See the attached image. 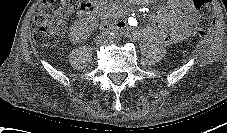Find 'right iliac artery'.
<instances>
[{
  "instance_id": "obj_1",
  "label": "right iliac artery",
  "mask_w": 227,
  "mask_h": 133,
  "mask_svg": "<svg viewBox=\"0 0 227 133\" xmlns=\"http://www.w3.org/2000/svg\"><path fill=\"white\" fill-rule=\"evenodd\" d=\"M105 34L115 36L113 32H105Z\"/></svg>"
}]
</instances>
